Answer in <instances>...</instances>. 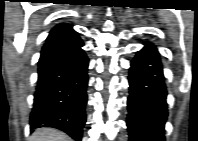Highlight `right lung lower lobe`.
Instances as JSON below:
<instances>
[{
    "label": "right lung lower lobe",
    "mask_w": 198,
    "mask_h": 141,
    "mask_svg": "<svg viewBox=\"0 0 198 141\" xmlns=\"http://www.w3.org/2000/svg\"><path fill=\"white\" fill-rule=\"evenodd\" d=\"M77 32L45 43L38 62V82L30 116L31 130L58 128L81 141L86 122L89 60Z\"/></svg>",
    "instance_id": "obj_1"
}]
</instances>
